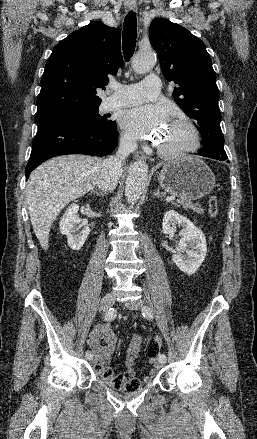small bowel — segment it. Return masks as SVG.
Instances as JSON below:
<instances>
[{"label":"small bowel","mask_w":257,"mask_h":439,"mask_svg":"<svg viewBox=\"0 0 257 439\" xmlns=\"http://www.w3.org/2000/svg\"><path fill=\"white\" fill-rule=\"evenodd\" d=\"M86 342L89 348L93 351L96 364L102 367H106L110 363L118 344L117 337L108 323L96 325L92 329ZM141 347V335H134L126 348V357L124 360V365L130 378L136 377L135 365L139 357ZM151 363L154 365V367L142 378V381L139 380L140 384L141 382L149 384L156 377L158 373L156 360L152 359Z\"/></svg>","instance_id":"obj_1"}]
</instances>
